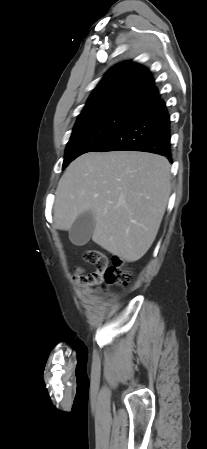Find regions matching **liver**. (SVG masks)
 <instances>
[{"mask_svg":"<svg viewBox=\"0 0 207 449\" xmlns=\"http://www.w3.org/2000/svg\"><path fill=\"white\" fill-rule=\"evenodd\" d=\"M170 163L160 155L115 151L89 152L75 159L56 190L53 222L69 230L90 211L92 240L127 262L151 247L170 196Z\"/></svg>","mask_w":207,"mask_h":449,"instance_id":"obj_1","label":"liver"}]
</instances>
